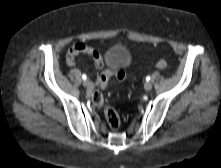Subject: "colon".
<instances>
[{
	"label": "colon",
	"mask_w": 221,
	"mask_h": 168,
	"mask_svg": "<svg viewBox=\"0 0 221 168\" xmlns=\"http://www.w3.org/2000/svg\"><path fill=\"white\" fill-rule=\"evenodd\" d=\"M168 66L165 60H159L156 63V67L159 69H165ZM91 101L96 106L104 107L105 118L108 126L112 130H116L120 127L121 120L116 110L106 105L103 95L99 91H94L91 95Z\"/></svg>",
	"instance_id": "5ec220e1"
}]
</instances>
